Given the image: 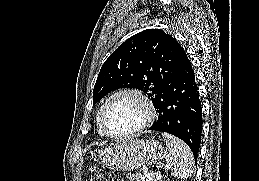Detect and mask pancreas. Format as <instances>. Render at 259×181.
Here are the masks:
<instances>
[{
	"instance_id": "cf45deb5",
	"label": "pancreas",
	"mask_w": 259,
	"mask_h": 181,
	"mask_svg": "<svg viewBox=\"0 0 259 181\" xmlns=\"http://www.w3.org/2000/svg\"><path fill=\"white\" fill-rule=\"evenodd\" d=\"M127 178L130 181H145L144 176L141 173H130Z\"/></svg>"
}]
</instances>
